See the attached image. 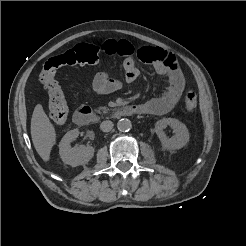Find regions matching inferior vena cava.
Instances as JSON below:
<instances>
[{
  "mask_svg": "<svg viewBox=\"0 0 246 246\" xmlns=\"http://www.w3.org/2000/svg\"><path fill=\"white\" fill-rule=\"evenodd\" d=\"M114 124L112 121H103L101 124H100V128L103 132H109L112 130Z\"/></svg>",
  "mask_w": 246,
  "mask_h": 246,
  "instance_id": "inferior-vena-cava-1",
  "label": "inferior vena cava"
}]
</instances>
